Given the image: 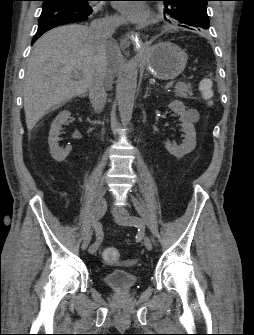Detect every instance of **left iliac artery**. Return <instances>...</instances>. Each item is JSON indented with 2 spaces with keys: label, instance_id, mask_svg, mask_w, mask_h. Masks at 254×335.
I'll list each match as a JSON object with an SVG mask.
<instances>
[{
  "label": "left iliac artery",
  "instance_id": "44dca946",
  "mask_svg": "<svg viewBox=\"0 0 254 335\" xmlns=\"http://www.w3.org/2000/svg\"><path fill=\"white\" fill-rule=\"evenodd\" d=\"M129 221H131L136 227L145 228V223L139 217L131 216L129 217ZM151 239L152 242L155 244L156 241L154 236H151Z\"/></svg>",
  "mask_w": 254,
  "mask_h": 335
}]
</instances>
